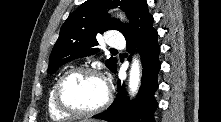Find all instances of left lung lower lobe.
<instances>
[{
	"instance_id": "1",
	"label": "left lung lower lobe",
	"mask_w": 221,
	"mask_h": 122,
	"mask_svg": "<svg viewBox=\"0 0 221 122\" xmlns=\"http://www.w3.org/2000/svg\"><path fill=\"white\" fill-rule=\"evenodd\" d=\"M127 41V50L134 53L137 47L142 62V80L135 100L129 101L124 85L118 82V93L111 106L93 118L109 122H155L154 112L157 102L154 98L158 89L157 74L160 70V46L158 33L153 28V16L148 12L145 0H138L134 6L131 24L123 33Z\"/></svg>"
}]
</instances>
